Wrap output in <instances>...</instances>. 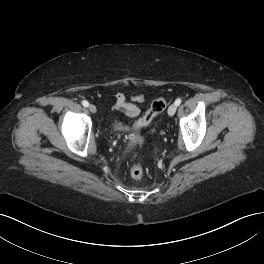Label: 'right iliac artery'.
Returning a JSON list of instances; mask_svg holds the SVG:
<instances>
[{"instance_id": "82829eb1", "label": "right iliac artery", "mask_w": 264, "mask_h": 264, "mask_svg": "<svg viewBox=\"0 0 264 264\" xmlns=\"http://www.w3.org/2000/svg\"><path fill=\"white\" fill-rule=\"evenodd\" d=\"M82 105H83L84 107H88L89 103H88V101L83 100V101H82Z\"/></svg>"}]
</instances>
